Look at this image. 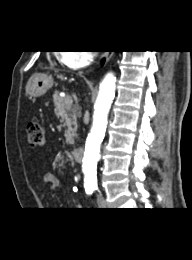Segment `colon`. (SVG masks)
Returning a JSON list of instances; mask_svg holds the SVG:
<instances>
[{
    "label": "colon",
    "mask_w": 192,
    "mask_h": 260,
    "mask_svg": "<svg viewBox=\"0 0 192 260\" xmlns=\"http://www.w3.org/2000/svg\"><path fill=\"white\" fill-rule=\"evenodd\" d=\"M27 138L28 142L32 147H42L46 143V134L43 127L37 122H29L27 124ZM57 166H62L63 162L58 159L56 162Z\"/></svg>",
    "instance_id": "obj_1"
}]
</instances>
